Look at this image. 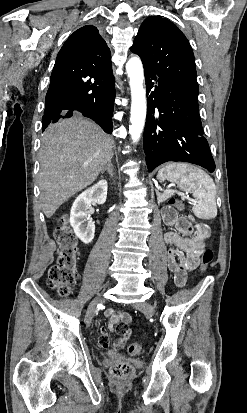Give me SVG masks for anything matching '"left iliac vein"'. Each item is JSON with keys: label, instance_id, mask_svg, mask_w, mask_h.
<instances>
[{"label": "left iliac vein", "instance_id": "1", "mask_svg": "<svg viewBox=\"0 0 247 413\" xmlns=\"http://www.w3.org/2000/svg\"><path fill=\"white\" fill-rule=\"evenodd\" d=\"M136 308L149 315H152L155 312V307L149 302L139 303L136 305Z\"/></svg>", "mask_w": 247, "mask_h": 413}]
</instances>
